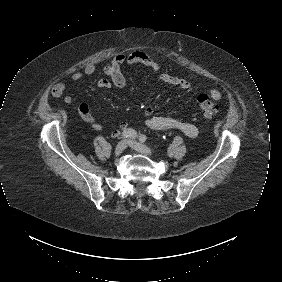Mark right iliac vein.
I'll return each instance as SVG.
<instances>
[{
  "label": "right iliac vein",
  "instance_id": "right-iliac-vein-1",
  "mask_svg": "<svg viewBox=\"0 0 282 282\" xmlns=\"http://www.w3.org/2000/svg\"><path fill=\"white\" fill-rule=\"evenodd\" d=\"M128 143L129 142L127 140L120 141L115 148V154L116 155L121 154L126 149Z\"/></svg>",
  "mask_w": 282,
  "mask_h": 282
}]
</instances>
